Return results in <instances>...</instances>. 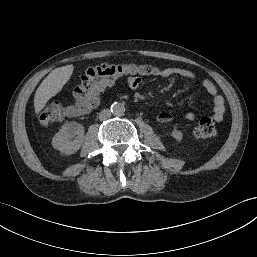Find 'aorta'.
Instances as JSON below:
<instances>
[{"label":"aorta","mask_w":257,"mask_h":257,"mask_svg":"<svg viewBox=\"0 0 257 257\" xmlns=\"http://www.w3.org/2000/svg\"><path fill=\"white\" fill-rule=\"evenodd\" d=\"M111 112L114 115L120 116L123 115L125 112V106L123 103L115 102L111 105Z\"/></svg>","instance_id":"1"}]
</instances>
